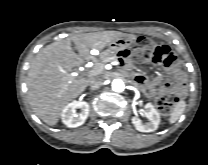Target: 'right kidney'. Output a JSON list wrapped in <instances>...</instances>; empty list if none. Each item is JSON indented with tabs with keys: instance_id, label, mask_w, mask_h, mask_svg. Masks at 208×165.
<instances>
[{
	"instance_id": "right-kidney-1",
	"label": "right kidney",
	"mask_w": 208,
	"mask_h": 165,
	"mask_svg": "<svg viewBox=\"0 0 208 165\" xmlns=\"http://www.w3.org/2000/svg\"><path fill=\"white\" fill-rule=\"evenodd\" d=\"M89 108V104L85 101H73L69 103L62 110V122L69 128L81 126L89 115ZM76 109H81L79 114H76Z\"/></svg>"
}]
</instances>
